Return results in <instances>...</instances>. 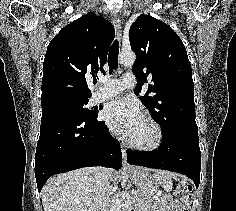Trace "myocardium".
Segmentation results:
<instances>
[{
    "label": "myocardium",
    "instance_id": "f54148a6",
    "mask_svg": "<svg viewBox=\"0 0 236 211\" xmlns=\"http://www.w3.org/2000/svg\"><path fill=\"white\" fill-rule=\"evenodd\" d=\"M143 119L153 128L154 130V140L148 144L137 143L131 140L129 137H125V143L136 150L139 151H154L160 148L163 142V130L160 124L150 115H144Z\"/></svg>",
    "mask_w": 236,
    "mask_h": 211
}]
</instances>
